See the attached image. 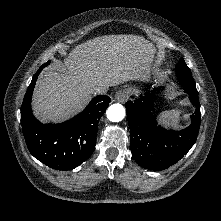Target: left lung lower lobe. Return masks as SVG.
<instances>
[{"label":"left lung lower lobe","instance_id":"left-lung-lower-lobe-1","mask_svg":"<svg viewBox=\"0 0 221 221\" xmlns=\"http://www.w3.org/2000/svg\"><path fill=\"white\" fill-rule=\"evenodd\" d=\"M177 77L196 107L195 113L191 115V124L184 130H166L157 126L152 93L126 102L132 156L146 169H167L178 162L196 142L201 119L198 91L191 73H177Z\"/></svg>","mask_w":221,"mask_h":221}]
</instances>
